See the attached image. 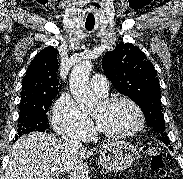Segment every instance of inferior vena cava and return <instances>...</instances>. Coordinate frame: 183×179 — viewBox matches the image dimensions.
Wrapping results in <instances>:
<instances>
[{"mask_svg":"<svg viewBox=\"0 0 183 179\" xmlns=\"http://www.w3.org/2000/svg\"><path fill=\"white\" fill-rule=\"evenodd\" d=\"M65 146L69 150H79L82 147L81 142L76 136H67L64 138Z\"/></svg>","mask_w":183,"mask_h":179,"instance_id":"inferior-vena-cava-1","label":"inferior vena cava"}]
</instances>
